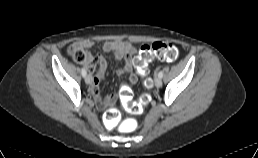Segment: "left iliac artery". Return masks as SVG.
<instances>
[{
	"label": "left iliac artery",
	"mask_w": 258,
	"mask_h": 158,
	"mask_svg": "<svg viewBox=\"0 0 258 158\" xmlns=\"http://www.w3.org/2000/svg\"><path fill=\"white\" fill-rule=\"evenodd\" d=\"M158 77H159V78H162V77H163V72H162V71H160V72L158 73Z\"/></svg>",
	"instance_id": "44dca946"
}]
</instances>
